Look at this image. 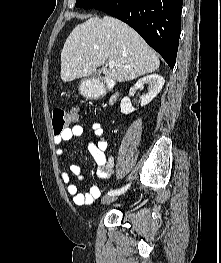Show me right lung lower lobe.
<instances>
[{"mask_svg":"<svg viewBox=\"0 0 221 263\" xmlns=\"http://www.w3.org/2000/svg\"><path fill=\"white\" fill-rule=\"evenodd\" d=\"M183 0H103L95 9L122 20L173 68L181 32Z\"/></svg>","mask_w":221,"mask_h":263,"instance_id":"1","label":"right lung lower lobe"}]
</instances>
